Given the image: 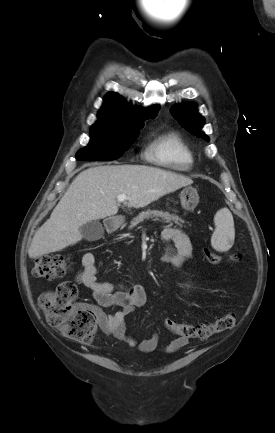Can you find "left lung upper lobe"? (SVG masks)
I'll return each instance as SVG.
<instances>
[{
  "instance_id": "1",
  "label": "left lung upper lobe",
  "mask_w": 275,
  "mask_h": 433,
  "mask_svg": "<svg viewBox=\"0 0 275 433\" xmlns=\"http://www.w3.org/2000/svg\"><path fill=\"white\" fill-rule=\"evenodd\" d=\"M171 113L173 117L192 134L209 141L207 135L201 131L204 125V119L197 113L195 105H178L171 110Z\"/></svg>"
}]
</instances>
